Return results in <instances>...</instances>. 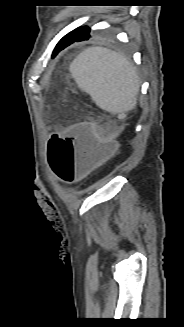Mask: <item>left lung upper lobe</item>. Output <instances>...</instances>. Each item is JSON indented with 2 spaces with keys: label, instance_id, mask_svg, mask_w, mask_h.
I'll return each instance as SVG.
<instances>
[{
  "label": "left lung upper lobe",
  "instance_id": "obj_1",
  "mask_svg": "<svg viewBox=\"0 0 184 327\" xmlns=\"http://www.w3.org/2000/svg\"><path fill=\"white\" fill-rule=\"evenodd\" d=\"M76 30H78L79 34L82 36V35H88L90 34V28L85 26V27H79L77 28Z\"/></svg>",
  "mask_w": 184,
  "mask_h": 327
}]
</instances>
